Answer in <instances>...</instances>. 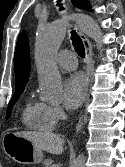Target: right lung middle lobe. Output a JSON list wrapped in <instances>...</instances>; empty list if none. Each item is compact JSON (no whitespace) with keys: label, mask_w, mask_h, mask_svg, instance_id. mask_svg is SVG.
Here are the masks:
<instances>
[{"label":"right lung middle lobe","mask_w":125,"mask_h":167,"mask_svg":"<svg viewBox=\"0 0 125 167\" xmlns=\"http://www.w3.org/2000/svg\"><path fill=\"white\" fill-rule=\"evenodd\" d=\"M23 90H24V88H16L15 89V94L13 95L12 100L10 101V103L8 105L6 119L10 118V116H11V110L13 108V105L18 100V98L20 97V95L23 92Z\"/></svg>","instance_id":"dd1d6c3e"}]
</instances>
